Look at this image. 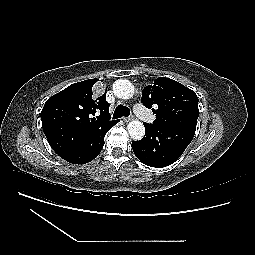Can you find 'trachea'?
I'll list each match as a JSON object with an SVG mask.
<instances>
[{"label":"trachea","instance_id":"1","mask_svg":"<svg viewBox=\"0 0 255 255\" xmlns=\"http://www.w3.org/2000/svg\"><path fill=\"white\" fill-rule=\"evenodd\" d=\"M130 115V109L123 106V105H118L114 111L113 114V119H118L121 117H128Z\"/></svg>","mask_w":255,"mask_h":255}]
</instances>
